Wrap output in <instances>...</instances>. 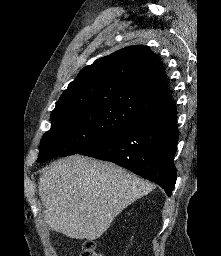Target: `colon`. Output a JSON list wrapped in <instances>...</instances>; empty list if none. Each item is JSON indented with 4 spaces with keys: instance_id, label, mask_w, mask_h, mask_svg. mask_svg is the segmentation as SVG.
I'll return each mask as SVG.
<instances>
[{
    "instance_id": "1",
    "label": "colon",
    "mask_w": 221,
    "mask_h": 256,
    "mask_svg": "<svg viewBox=\"0 0 221 256\" xmlns=\"http://www.w3.org/2000/svg\"><path fill=\"white\" fill-rule=\"evenodd\" d=\"M80 256H104L103 253L97 248L95 242L87 240L83 243Z\"/></svg>"
}]
</instances>
